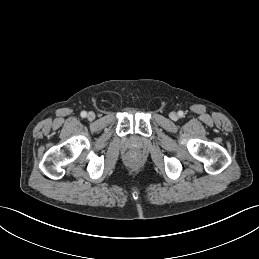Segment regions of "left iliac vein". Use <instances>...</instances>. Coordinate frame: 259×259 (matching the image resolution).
<instances>
[{
    "instance_id": "1",
    "label": "left iliac vein",
    "mask_w": 259,
    "mask_h": 259,
    "mask_svg": "<svg viewBox=\"0 0 259 259\" xmlns=\"http://www.w3.org/2000/svg\"><path fill=\"white\" fill-rule=\"evenodd\" d=\"M170 117H171L172 120H177V119H178V115H177V113H175V112H172V113L170 114Z\"/></svg>"
}]
</instances>
